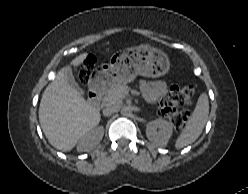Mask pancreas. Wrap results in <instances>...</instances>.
Wrapping results in <instances>:
<instances>
[{
	"instance_id": "pancreas-1",
	"label": "pancreas",
	"mask_w": 248,
	"mask_h": 194,
	"mask_svg": "<svg viewBox=\"0 0 248 194\" xmlns=\"http://www.w3.org/2000/svg\"><path fill=\"white\" fill-rule=\"evenodd\" d=\"M129 87L126 84H119L108 90L102 99L104 105L120 104L127 95Z\"/></svg>"
}]
</instances>
